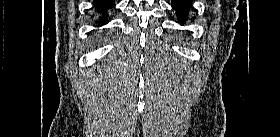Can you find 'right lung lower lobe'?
I'll return each mask as SVG.
<instances>
[{"mask_svg":"<svg viewBox=\"0 0 280 137\" xmlns=\"http://www.w3.org/2000/svg\"><path fill=\"white\" fill-rule=\"evenodd\" d=\"M95 10L100 15L98 23L106 24L108 23V14L107 11L110 10L114 5V0H101L95 1Z\"/></svg>","mask_w":280,"mask_h":137,"instance_id":"obj_1","label":"right lung lower lobe"}]
</instances>
